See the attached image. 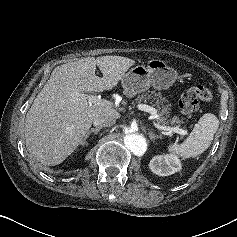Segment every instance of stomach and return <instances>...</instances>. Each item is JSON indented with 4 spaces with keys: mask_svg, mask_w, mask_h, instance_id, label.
<instances>
[{
    "mask_svg": "<svg viewBox=\"0 0 237 237\" xmlns=\"http://www.w3.org/2000/svg\"><path fill=\"white\" fill-rule=\"evenodd\" d=\"M177 79V72L159 59H151L147 66L138 65L130 69L121 79L124 94L133 97L138 93L145 92L150 86L155 89H167Z\"/></svg>",
    "mask_w": 237,
    "mask_h": 237,
    "instance_id": "0dacf381",
    "label": "stomach"
}]
</instances>
